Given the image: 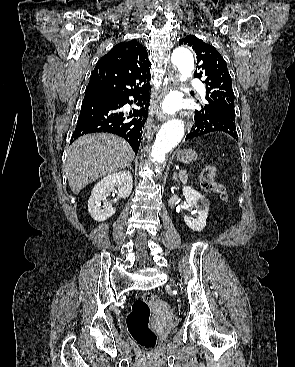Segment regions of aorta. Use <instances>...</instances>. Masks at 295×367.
Returning a JSON list of instances; mask_svg holds the SVG:
<instances>
[{"instance_id": "1", "label": "aorta", "mask_w": 295, "mask_h": 367, "mask_svg": "<svg viewBox=\"0 0 295 367\" xmlns=\"http://www.w3.org/2000/svg\"><path fill=\"white\" fill-rule=\"evenodd\" d=\"M172 61L177 66L181 81L192 76L194 70V59L188 49L177 48L173 51ZM185 133L184 122L172 119L162 125L156 135L151 149V159L154 164L163 163L165 155L176 147L183 139Z\"/></svg>"}]
</instances>
